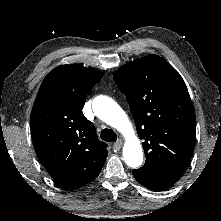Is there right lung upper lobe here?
Segmentation results:
<instances>
[{"label": "right lung upper lobe", "instance_id": "obj_1", "mask_svg": "<svg viewBox=\"0 0 221 221\" xmlns=\"http://www.w3.org/2000/svg\"><path fill=\"white\" fill-rule=\"evenodd\" d=\"M103 73L80 64L61 65L44 79L34 102L30 127L33 145L48 173L76 188L94 180L107 157L82 108Z\"/></svg>", "mask_w": 221, "mask_h": 221}]
</instances>
